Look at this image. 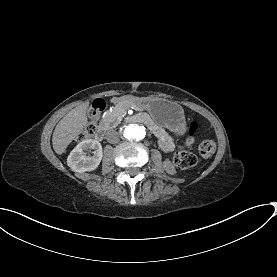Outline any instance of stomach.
I'll return each mask as SVG.
<instances>
[{"mask_svg":"<svg viewBox=\"0 0 277 277\" xmlns=\"http://www.w3.org/2000/svg\"><path fill=\"white\" fill-rule=\"evenodd\" d=\"M132 100L139 109L147 110L161 126L177 130L185 123L184 111L177 103L154 97L133 98Z\"/></svg>","mask_w":277,"mask_h":277,"instance_id":"obj_1","label":"stomach"}]
</instances>
